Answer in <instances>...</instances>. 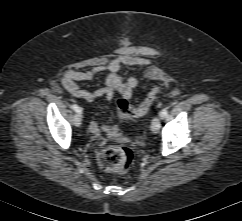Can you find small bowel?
Listing matches in <instances>:
<instances>
[{
    "mask_svg": "<svg viewBox=\"0 0 242 221\" xmlns=\"http://www.w3.org/2000/svg\"><path fill=\"white\" fill-rule=\"evenodd\" d=\"M139 63V58L127 51L121 53L118 57L112 59L107 65L97 66L88 71H77L67 69L63 73L61 80L64 89L74 98L92 102L99 98L113 99L116 94H120L124 99H129L132 93L140 85V82L135 77L123 79L120 72L125 65H136ZM107 72L105 85L95 91L82 89L80 82L90 81ZM106 127L102 126L98 121L92 120L89 124V130L94 135H98Z\"/></svg>",
    "mask_w": 242,
    "mask_h": 221,
    "instance_id": "c3829d8e",
    "label": "small bowel"
}]
</instances>
